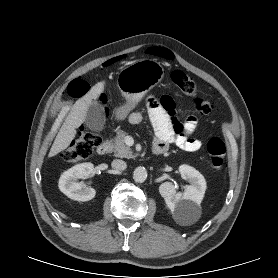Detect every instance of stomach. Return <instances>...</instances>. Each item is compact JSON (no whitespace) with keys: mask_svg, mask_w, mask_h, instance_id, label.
<instances>
[{"mask_svg":"<svg viewBox=\"0 0 278 278\" xmlns=\"http://www.w3.org/2000/svg\"><path fill=\"white\" fill-rule=\"evenodd\" d=\"M164 68L154 59H141L122 69L117 76V86L126 103L114 110L117 120H123L162 81Z\"/></svg>","mask_w":278,"mask_h":278,"instance_id":"stomach-1","label":"stomach"}]
</instances>
